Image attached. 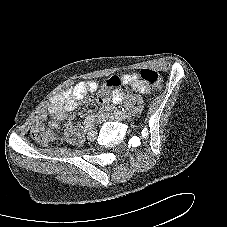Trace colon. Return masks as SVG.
I'll use <instances>...</instances> for the list:
<instances>
[{
    "label": "colon",
    "instance_id": "colon-1",
    "mask_svg": "<svg viewBox=\"0 0 227 227\" xmlns=\"http://www.w3.org/2000/svg\"><path fill=\"white\" fill-rule=\"evenodd\" d=\"M138 76L146 82L151 89L155 91L161 90L163 86V78L157 71L152 69H142L139 71ZM121 82L122 78L120 76L112 75L106 79L105 85L106 87H115L120 85ZM32 136L34 140L40 144H45L50 138L49 133L43 127L33 131Z\"/></svg>",
    "mask_w": 227,
    "mask_h": 227
}]
</instances>
